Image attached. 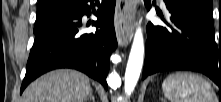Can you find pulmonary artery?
I'll return each mask as SVG.
<instances>
[{
	"mask_svg": "<svg viewBox=\"0 0 221 102\" xmlns=\"http://www.w3.org/2000/svg\"><path fill=\"white\" fill-rule=\"evenodd\" d=\"M160 3H161V6L165 9L166 8V6H165V3H164V1L163 0H160Z\"/></svg>",
	"mask_w": 221,
	"mask_h": 102,
	"instance_id": "obj_1",
	"label": "pulmonary artery"
}]
</instances>
